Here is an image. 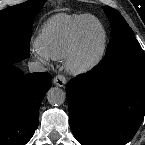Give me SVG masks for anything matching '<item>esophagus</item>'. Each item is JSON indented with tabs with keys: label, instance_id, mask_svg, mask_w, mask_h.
<instances>
[{
	"label": "esophagus",
	"instance_id": "obj_1",
	"mask_svg": "<svg viewBox=\"0 0 145 145\" xmlns=\"http://www.w3.org/2000/svg\"><path fill=\"white\" fill-rule=\"evenodd\" d=\"M53 83L58 86V87H65L66 85V78L64 75L62 74H58L54 80H53Z\"/></svg>",
	"mask_w": 145,
	"mask_h": 145
}]
</instances>
